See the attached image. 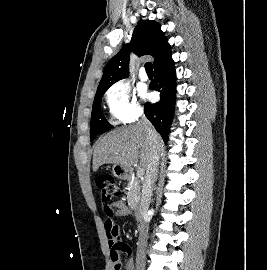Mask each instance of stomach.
<instances>
[{
  "label": "stomach",
  "instance_id": "0dacf381",
  "mask_svg": "<svg viewBox=\"0 0 267 270\" xmlns=\"http://www.w3.org/2000/svg\"><path fill=\"white\" fill-rule=\"evenodd\" d=\"M112 173L116 178L125 180L130 177L131 170L119 164H114L112 167Z\"/></svg>",
  "mask_w": 267,
  "mask_h": 270
}]
</instances>
